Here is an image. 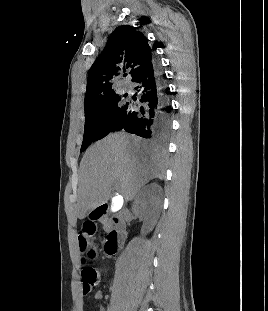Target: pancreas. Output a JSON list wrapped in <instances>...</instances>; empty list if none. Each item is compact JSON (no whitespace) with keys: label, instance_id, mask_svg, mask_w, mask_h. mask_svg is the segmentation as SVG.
I'll use <instances>...</instances> for the list:
<instances>
[{"label":"pancreas","instance_id":"pancreas-1","mask_svg":"<svg viewBox=\"0 0 268 311\" xmlns=\"http://www.w3.org/2000/svg\"><path fill=\"white\" fill-rule=\"evenodd\" d=\"M104 228L106 229L108 227V223L107 222H104Z\"/></svg>","mask_w":268,"mask_h":311}]
</instances>
